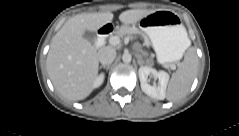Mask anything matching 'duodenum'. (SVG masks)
Here are the masks:
<instances>
[{
  "mask_svg": "<svg viewBox=\"0 0 239 136\" xmlns=\"http://www.w3.org/2000/svg\"><path fill=\"white\" fill-rule=\"evenodd\" d=\"M114 31V26L111 23L105 24L98 29L95 45L101 46L107 37Z\"/></svg>",
  "mask_w": 239,
  "mask_h": 136,
  "instance_id": "duodenum-1",
  "label": "duodenum"
}]
</instances>
